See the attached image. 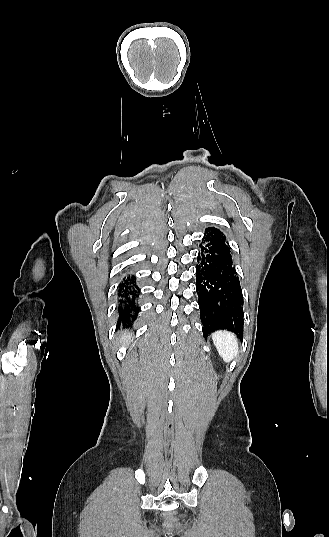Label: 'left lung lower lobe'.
<instances>
[{
  "instance_id": "obj_1",
  "label": "left lung lower lobe",
  "mask_w": 329,
  "mask_h": 537,
  "mask_svg": "<svg viewBox=\"0 0 329 537\" xmlns=\"http://www.w3.org/2000/svg\"><path fill=\"white\" fill-rule=\"evenodd\" d=\"M203 336L226 329L243 338V295L226 237L216 227L205 229L196 265Z\"/></svg>"
}]
</instances>
